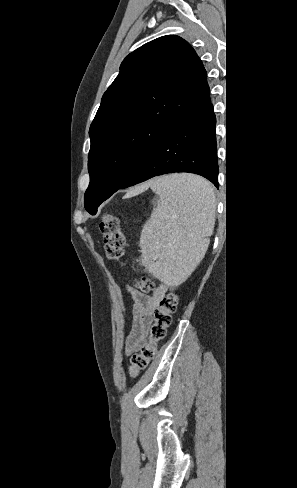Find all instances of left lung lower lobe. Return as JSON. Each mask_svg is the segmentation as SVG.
Returning a JSON list of instances; mask_svg holds the SVG:
<instances>
[{"label": "left lung lower lobe", "mask_w": 297, "mask_h": 488, "mask_svg": "<svg viewBox=\"0 0 297 488\" xmlns=\"http://www.w3.org/2000/svg\"><path fill=\"white\" fill-rule=\"evenodd\" d=\"M215 125L209 102L172 131L119 189L172 172L195 173L218 187Z\"/></svg>", "instance_id": "obj_1"}]
</instances>
